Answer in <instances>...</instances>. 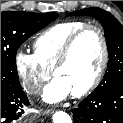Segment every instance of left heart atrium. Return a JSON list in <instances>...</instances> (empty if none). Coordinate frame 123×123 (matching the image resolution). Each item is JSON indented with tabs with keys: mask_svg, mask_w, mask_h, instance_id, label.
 I'll list each match as a JSON object with an SVG mask.
<instances>
[{
	"mask_svg": "<svg viewBox=\"0 0 123 123\" xmlns=\"http://www.w3.org/2000/svg\"><path fill=\"white\" fill-rule=\"evenodd\" d=\"M71 93L69 87L60 78H55L44 90V100L50 103L65 99Z\"/></svg>",
	"mask_w": 123,
	"mask_h": 123,
	"instance_id": "39dd6f15",
	"label": "left heart atrium"
}]
</instances>
